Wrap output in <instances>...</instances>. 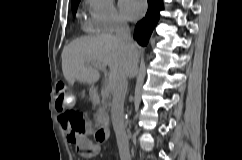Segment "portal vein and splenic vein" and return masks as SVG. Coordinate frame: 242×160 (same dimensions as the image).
<instances>
[{
  "label": "portal vein and splenic vein",
  "instance_id": "obj_1",
  "mask_svg": "<svg viewBox=\"0 0 242 160\" xmlns=\"http://www.w3.org/2000/svg\"><path fill=\"white\" fill-rule=\"evenodd\" d=\"M95 68L98 69V70H100V71H102V72H105V70H106L105 66H103V65H96ZM109 91H110V86L104 87L101 90L102 96H104V97L108 96Z\"/></svg>",
  "mask_w": 242,
  "mask_h": 160
}]
</instances>
